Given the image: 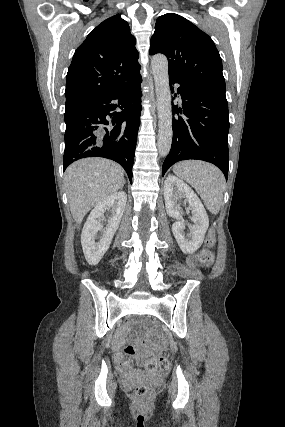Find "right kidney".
<instances>
[{
  "instance_id": "ca27d5eb",
  "label": "right kidney",
  "mask_w": 285,
  "mask_h": 427,
  "mask_svg": "<svg viewBox=\"0 0 285 427\" xmlns=\"http://www.w3.org/2000/svg\"><path fill=\"white\" fill-rule=\"evenodd\" d=\"M126 201V193L117 192L97 204L89 214L81 234L83 252L89 264L97 265L108 250L119 227ZM106 211H110L111 216L108 219L103 236L98 240L97 233L99 230H103L101 221L104 220Z\"/></svg>"
}]
</instances>
